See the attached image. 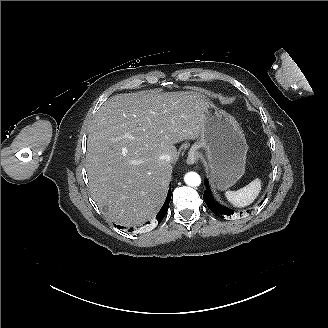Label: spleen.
Listing matches in <instances>:
<instances>
[{
	"label": "spleen",
	"instance_id": "3e777b00",
	"mask_svg": "<svg viewBox=\"0 0 328 328\" xmlns=\"http://www.w3.org/2000/svg\"><path fill=\"white\" fill-rule=\"evenodd\" d=\"M260 189L261 184L259 179H254L239 190H227L226 197L233 205L243 207L254 201L256 196L259 194Z\"/></svg>",
	"mask_w": 328,
	"mask_h": 328
}]
</instances>
